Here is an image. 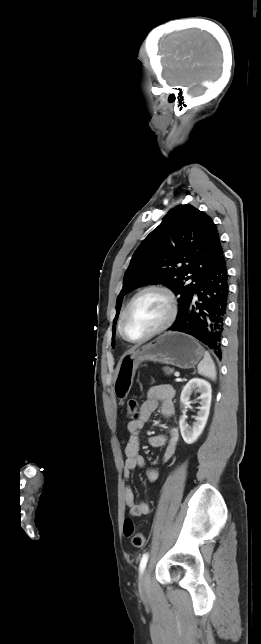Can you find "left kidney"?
<instances>
[{"instance_id": "obj_1", "label": "left kidney", "mask_w": 261, "mask_h": 644, "mask_svg": "<svg viewBox=\"0 0 261 644\" xmlns=\"http://www.w3.org/2000/svg\"><path fill=\"white\" fill-rule=\"evenodd\" d=\"M195 390L200 393V396L198 397L200 400V407H198L199 411L195 417L196 422L192 427H190L183 416L179 420L181 435L187 444L194 443L203 432L207 423L211 405V385L208 381L200 378H193L184 386L180 397L181 403L187 404L191 393Z\"/></svg>"}]
</instances>
